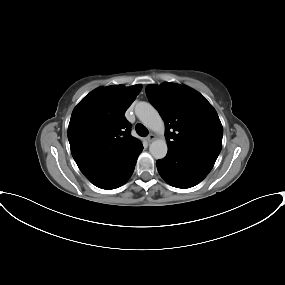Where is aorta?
Listing matches in <instances>:
<instances>
[{
    "instance_id": "1",
    "label": "aorta",
    "mask_w": 285,
    "mask_h": 285,
    "mask_svg": "<svg viewBox=\"0 0 285 285\" xmlns=\"http://www.w3.org/2000/svg\"><path fill=\"white\" fill-rule=\"evenodd\" d=\"M138 119L150 130L157 133H164V122L158 111L147 102H139L135 107ZM151 155L155 159H162L166 156L168 147L165 139L154 140L149 147Z\"/></svg>"
}]
</instances>
